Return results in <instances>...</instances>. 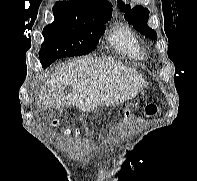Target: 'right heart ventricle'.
<instances>
[{
    "label": "right heart ventricle",
    "instance_id": "right-heart-ventricle-1",
    "mask_svg": "<svg viewBox=\"0 0 197 181\" xmlns=\"http://www.w3.org/2000/svg\"><path fill=\"white\" fill-rule=\"evenodd\" d=\"M111 45L120 53L132 59H143L144 53L137 37L126 25L116 27L109 37Z\"/></svg>",
    "mask_w": 197,
    "mask_h": 181
}]
</instances>
